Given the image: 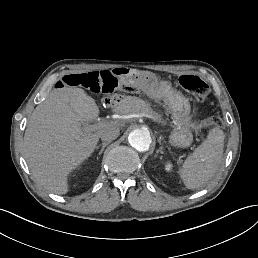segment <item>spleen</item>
<instances>
[{
	"label": "spleen",
	"mask_w": 258,
	"mask_h": 258,
	"mask_svg": "<svg viewBox=\"0 0 258 258\" xmlns=\"http://www.w3.org/2000/svg\"><path fill=\"white\" fill-rule=\"evenodd\" d=\"M224 133L215 127L207 139L185 160L180 176L188 189H196L210 181L222 161Z\"/></svg>",
	"instance_id": "obj_1"
}]
</instances>
